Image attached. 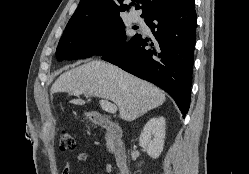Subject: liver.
<instances>
[{
  "label": "liver",
  "mask_w": 249,
  "mask_h": 174,
  "mask_svg": "<svg viewBox=\"0 0 249 174\" xmlns=\"http://www.w3.org/2000/svg\"><path fill=\"white\" fill-rule=\"evenodd\" d=\"M50 92L51 95L66 92L110 100L118 107L120 118L126 121L137 119L166 100L161 89L153 84L98 60L63 73L52 85ZM71 103L83 105L85 101L73 99Z\"/></svg>",
  "instance_id": "liver-1"
}]
</instances>
